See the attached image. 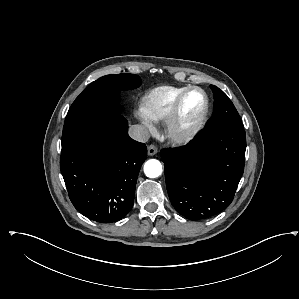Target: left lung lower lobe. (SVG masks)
Here are the masks:
<instances>
[{"instance_id":"0a47b994","label":"left lung lower lobe","mask_w":299,"mask_h":299,"mask_svg":"<svg viewBox=\"0 0 299 299\" xmlns=\"http://www.w3.org/2000/svg\"><path fill=\"white\" fill-rule=\"evenodd\" d=\"M244 128L214 126L187 145L161 150L173 207L190 220L220 213L233 200L244 171Z\"/></svg>"}]
</instances>
